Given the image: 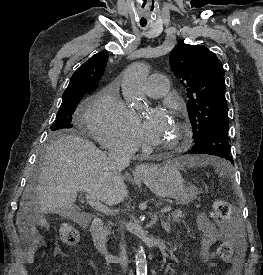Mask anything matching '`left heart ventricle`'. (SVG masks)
Listing matches in <instances>:
<instances>
[{
    "instance_id": "obj_1",
    "label": "left heart ventricle",
    "mask_w": 263,
    "mask_h": 275,
    "mask_svg": "<svg viewBox=\"0 0 263 275\" xmlns=\"http://www.w3.org/2000/svg\"><path fill=\"white\" fill-rule=\"evenodd\" d=\"M177 128L173 120L168 121L158 139L154 142L159 146L171 144L177 137Z\"/></svg>"
}]
</instances>
